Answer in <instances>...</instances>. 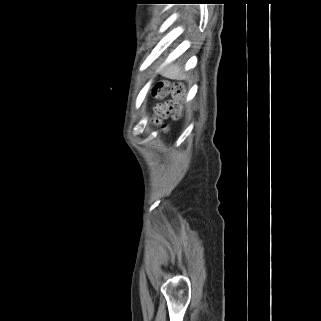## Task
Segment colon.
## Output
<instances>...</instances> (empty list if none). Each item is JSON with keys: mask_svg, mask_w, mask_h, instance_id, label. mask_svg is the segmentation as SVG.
<instances>
[{"mask_svg": "<svg viewBox=\"0 0 321 321\" xmlns=\"http://www.w3.org/2000/svg\"><path fill=\"white\" fill-rule=\"evenodd\" d=\"M185 91V87L184 85H176L174 87H172L171 89V93L173 95L174 98H179L183 95ZM167 92V87L164 84H160L157 85L154 89V95L155 96H163L164 94H166ZM176 103L174 101H169L167 102V104L163 107L162 111H161V115L162 117H166L168 115H174L176 116L178 114V109L176 108Z\"/></svg>", "mask_w": 321, "mask_h": 321, "instance_id": "1", "label": "colon"}]
</instances>
